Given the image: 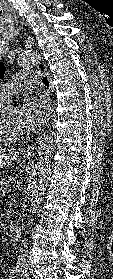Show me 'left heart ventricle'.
Segmentation results:
<instances>
[{"instance_id":"b2bd125f","label":"left heart ventricle","mask_w":113,"mask_h":279,"mask_svg":"<svg viewBox=\"0 0 113 279\" xmlns=\"http://www.w3.org/2000/svg\"><path fill=\"white\" fill-rule=\"evenodd\" d=\"M3 124L11 132L23 133L20 109L16 107L10 110L4 117Z\"/></svg>"}]
</instances>
